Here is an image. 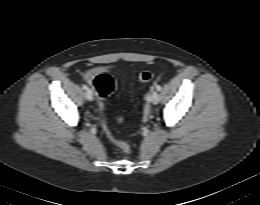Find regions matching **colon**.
<instances>
[{"mask_svg":"<svg viewBox=\"0 0 260 205\" xmlns=\"http://www.w3.org/2000/svg\"><path fill=\"white\" fill-rule=\"evenodd\" d=\"M153 76L154 74L152 71L143 70L139 73L138 80L141 83H147L152 80ZM93 86L98 96L100 97L99 106L103 110L105 107L104 101L113 94L116 87V82L110 74L106 72H100L95 76L93 81ZM118 120L122 121L123 118L119 117ZM103 129L107 134V136L112 140V142L116 146H118L123 152L125 153L130 152L129 145L114 134V132L111 130L106 120H103Z\"/></svg>","mask_w":260,"mask_h":205,"instance_id":"obj_1","label":"colon"}]
</instances>
